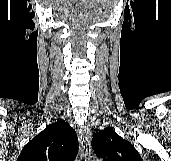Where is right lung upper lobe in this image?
I'll use <instances>...</instances> for the list:
<instances>
[{
    "instance_id": "1",
    "label": "right lung upper lobe",
    "mask_w": 171,
    "mask_h": 161,
    "mask_svg": "<svg viewBox=\"0 0 171 161\" xmlns=\"http://www.w3.org/2000/svg\"><path fill=\"white\" fill-rule=\"evenodd\" d=\"M77 151L76 132L57 120L24 146L17 161H73Z\"/></svg>"
}]
</instances>
